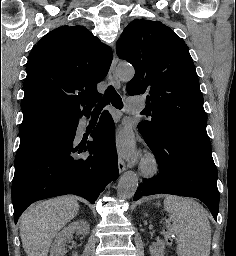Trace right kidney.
<instances>
[{
    "label": "right kidney",
    "instance_id": "1",
    "mask_svg": "<svg viewBox=\"0 0 236 256\" xmlns=\"http://www.w3.org/2000/svg\"><path fill=\"white\" fill-rule=\"evenodd\" d=\"M89 230V224L84 222V220L72 222L68 228H63L60 234H58V238L51 248L50 256H65L64 246L66 242L71 240L73 232H76V234H89ZM73 256H76V254H73Z\"/></svg>",
    "mask_w": 236,
    "mask_h": 256
}]
</instances>
